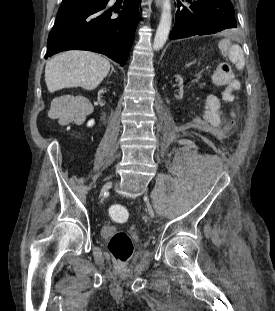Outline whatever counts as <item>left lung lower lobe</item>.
I'll use <instances>...</instances> for the list:
<instances>
[{"label":"left lung lower lobe","mask_w":275,"mask_h":311,"mask_svg":"<svg viewBox=\"0 0 275 311\" xmlns=\"http://www.w3.org/2000/svg\"><path fill=\"white\" fill-rule=\"evenodd\" d=\"M176 7L175 25L170 32L171 40L213 34L237 27L230 0H185V3L177 1Z\"/></svg>","instance_id":"obj_1"}]
</instances>
